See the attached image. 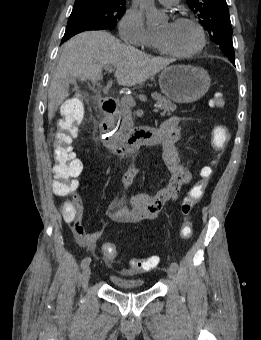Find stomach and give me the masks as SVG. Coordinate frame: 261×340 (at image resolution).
Segmentation results:
<instances>
[{
  "mask_svg": "<svg viewBox=\"0 0 261 340\" xmlns=\"http://www.w3.org/2000/svg\"><path fill=\"white\" fill-rule=\"evenodd\" d=\"M162 93L170 100L188 104L200 100L209 90L211 79L206 70L191 65L165 67L159 75Z\"/></svg>",
  "mask_w": 261,
  "mask_h": 340,
  "instance_id": "0dacf381",
  "label": "stomach"
}]
</instances>
